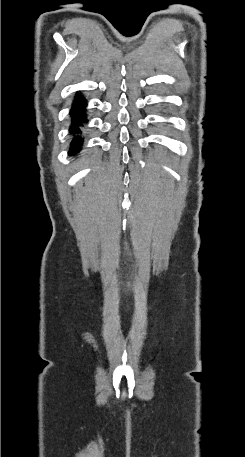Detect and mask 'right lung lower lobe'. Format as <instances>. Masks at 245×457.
<instances>
[{
	"instance_id": "98d812e1",
	"label": "right lung lower lobe",
	"mask_w": 245,
	"mask_h": 457,
	"mask_svg": "<svg viewBox=\"0 0 245 457\" xmlns=\"http://www.w3.org/2000/svg\"><path fill=\"white\" fill-rule=\"evenodd\" d=\"M86 99L82 97L80 94H77V97L73 101L71 110H70V116H71V126L69 129V132L73 134V139L71 142V147L69 154L75 155L77 154L83 143V138L79 136L81 133L80 127L83 126L87 122V116H86Z\"/></svg>"
}]
</instances>
